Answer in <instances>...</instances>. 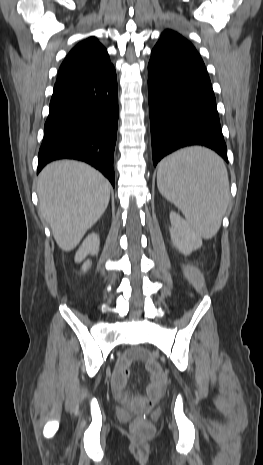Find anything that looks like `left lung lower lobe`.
Segmentation results:
<instances>
[{
	"mask_svg": "<svg viewBox=\"0 0 263 465\" xmlns=\"http://www.w3.org/2000/svg\"><path fill=\"white\" fill-rule=\"evenodd\" d=\"M153 163L175 150L202 145L227 162L216 100L195 49L156 44L148 64Z\"/></svg>",
	"mask_w": 263,
	"mask_h": 465,
	"instance_id": "obj_1",
	"label": "left lung lower lobe"
}]
</instances>
